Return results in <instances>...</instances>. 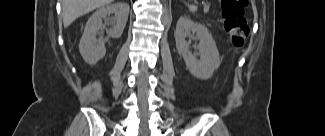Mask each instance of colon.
Wrapping results in <instances>:
<instances>
[{"mask_svg":"<svg viewBox=\"0 0 325 136\" xmlns=\"http://www.w3.org/2000/svg\"><path fill=\"white\" fill-rule=\"evenodd\" d=\"M248 0H222V17L224 29L231 36L234 46L245 45L250 34V28L245 19V7Z\"/></svg>","mask_w":325,"mask_h":136,"instance_id":"5ec220e1","label":"colon"}]
</instances>
